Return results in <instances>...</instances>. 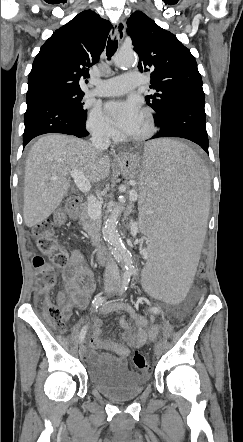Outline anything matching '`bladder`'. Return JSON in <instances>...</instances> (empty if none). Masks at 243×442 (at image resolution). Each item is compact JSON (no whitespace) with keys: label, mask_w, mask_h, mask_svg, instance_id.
<instances>
[{"label":"bladder","mask_w":243,"mask_h":442,"mask_svg":"<svg viewBox=\"0 0 243 442\" xmlns=\"http://www.w3.org/2000/svg\"><path fill=\"white\" fill-rule=\"evenodd\" d=\"M88 378L93 387L113 401H128L144 391L147 377L126 366L111 356L99 354L88 363Z\"/></svg>","instance_id":"obj_1"}]
</instances>
